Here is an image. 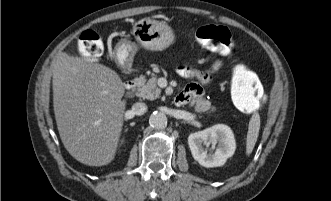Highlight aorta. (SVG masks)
<instances>
[{
	"label": "aorta",
	"mask_w": 331,
	"mask_h": 201,
	"mask_svg": "<svg viewBox=\"0 0 331 201\" xmlns=\"http://www.w3.org/2000/svg\"><path fill=\"white\" fill-rule=\"evenodd\" d=\"M149 123L156 129H163L167 126V117L163 112L155 111L151 114Z\"/></svg>",
	"instance_id": "aorta-1"
}]
</instances>
